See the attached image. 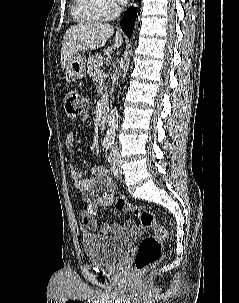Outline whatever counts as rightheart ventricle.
<instances>
[{
  "mask_svg": "<svg viewBox=\"0 0 239 303\" xmlns=\"http://www.w3.org/2000/svg\"><path fill=\"white\" fill-rule=\"evenodd\" d=\"M72 14L81 22H95L105 19L98 11L95 0H72Z\"/></svg>",
  "mask_w": 239,
  "mask_h": 303,
  "instance_id": "e07e8e85",
  "label": "right heart ventricle"
}]
</instances>
